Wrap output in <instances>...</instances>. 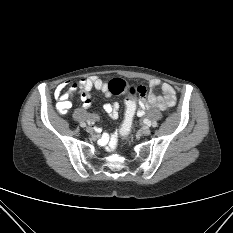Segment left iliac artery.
<instances>
[{"instance_id":"44dca946","label":"left iliac artery","mask_w":233,"mask_h":233,"mask_svg":"<svg viewBox=\"0 0 233 233\" xmlns=\"http://www.w3.org/2000/svg\"><path fill=\"white\" fill-rule=\"evenodd\" d=\"M152 128H157V123H152Z\"/></svg>"}]
</instances>
